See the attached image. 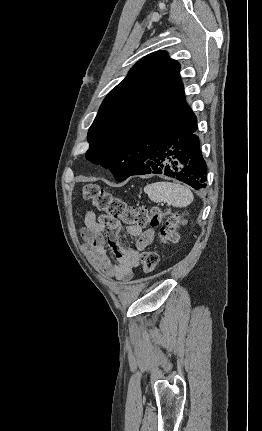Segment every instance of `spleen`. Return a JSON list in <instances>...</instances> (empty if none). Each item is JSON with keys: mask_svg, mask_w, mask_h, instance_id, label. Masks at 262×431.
Here are the masks:
<instances>
[{"mask_svg": "<svg viewBox=\"0 0 262 431\" xmlns=\"http://www.w3.org/2000/svg\"><path fill=\"white\" fill-rule=\"evenodd\" d=\"M144 192L153 202H165L174 207H186L194 198L186 186L165 181L146 185Z\"/></svg>", "mask_w": 262, "mask_h": 431, "instance_id": "1", "label": "spleen"}]
</instances>
